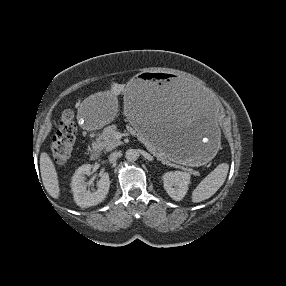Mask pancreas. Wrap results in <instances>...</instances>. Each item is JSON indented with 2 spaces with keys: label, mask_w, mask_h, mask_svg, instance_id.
I'll list each match as a JSON object with an SVG mask.
<instances>
[{
  "label": "pancreas",
  "mask_w": 286,
  "mask_h": 286,
  "mask_svg": "<svg viewBox=\"0 0 286 286\" xmlns=\"http://www.w3.org/2000/svg\"><path fill=\"white\" fill-rule=\"evenodd\" d=\"M131 134L136 136L139 141H141L146 148L162 163L171 165L170 160L165 157L162 153L154 147V145L144 137L140 132H136L134 129H130ZM117 126L115 124L109 125L103 129V132L99 134L96 141L93 142L92 146L95 149L103 151H111L112 149L120 146L122 141L116 138ZM194 176H198L199 173L194 170H189Z\"/></svg>",
  "instance_id": "cf45deb5"
}]
</instances>
